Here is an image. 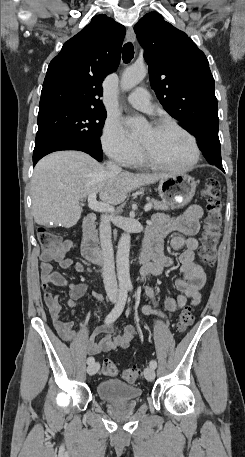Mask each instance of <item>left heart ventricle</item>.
<instances>
[{"label":"left heart ventricle","instance_id":"left-heart-ventricle-1","mask_svg":"<svg viewBox=\"0 0 245 457\" xmlns=\"http://www.w3.org/2000/svg\"><path fill=\"white\" fill-rule=\"evenodd\" d=\"M136 142L147 155L170 166L186 165L192 158L189 139L174 128L157 131L150 126Z\"/></svg>","mask_w":245,"mask_h":457}]
</instances>
